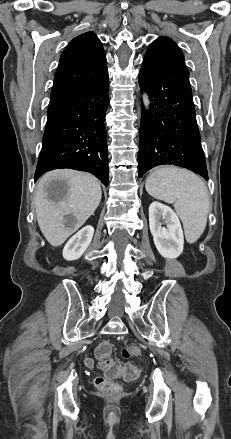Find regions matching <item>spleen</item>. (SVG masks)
Here are the masks:
<instances>
[{"instance_id": "spleen-1", "label": "spleen", "mask_w": 231, "mask_h": 439, "mask_svg": "<svg viewBox=\"0 0 231 439\" xmlns=\"http://www.w3.org/2000/svg\"><path fill=\"white\" fill-rule=\"evenodd\" d=\"M145 188L152 197L174 204L189 243L199 239L209 212L208 191L199 176L174 167L158 168L146 179Z\"/></svg>"}]
</instances>
